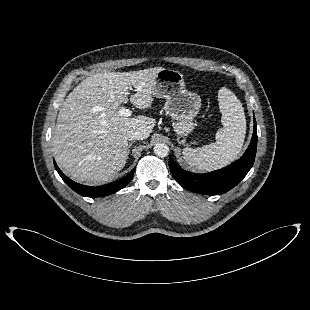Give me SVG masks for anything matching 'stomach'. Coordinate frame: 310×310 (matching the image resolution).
Listing matches in <instances>:
<instances>
[{
    "label": "stomach",
    "instance_id": "stomach-1",
    "mask_svg": "<svg viewBox=\"0 0 310 310\" xmlns=\"http://www.w3.org/2000/svg\"><path fill=\"white\" fill-rule=\"evenodd\" d=\"M153 95L165 98L164 110L176 120L175 133L186 138L194 129L192 121L201 107L200 96L187 90L182 73L165 68L156 74Z\"/></svg>",
    "mask_w": 310,
    "mask_h": 310
}]
</instances>
